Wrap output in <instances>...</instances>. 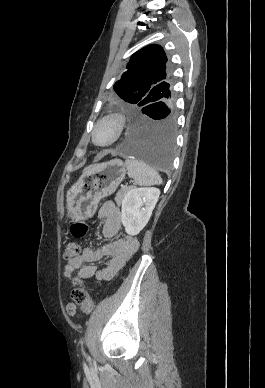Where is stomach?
I'll list each match as a JSON object with an SVG mask.
<instances>
[{"label": "stomach", "instance_id": "0dacf381", "mask_svg": "<svg viewBox=\"0 0 265 388\" xmlns=\"http://www.w3.org/2000/svg\"><path fill=\"white\" fill-rule=\"evenodd\" d=\"M125 175V164L120 159L87 168L67 192L68 216L78 219L91 217L99 201L114 193Z\"/></svg>", "mask_w": 265, "mask_h": 388}]
</instances>
